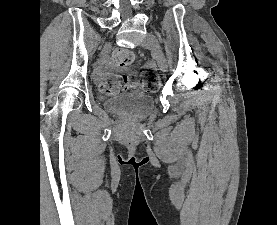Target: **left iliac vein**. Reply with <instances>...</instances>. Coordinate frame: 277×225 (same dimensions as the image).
Wrapping results in <instances>:
<instances>
[{
  "mask_svg": "<svg viewBox=\"0 0 277 225\" xmlns=\"http://www.w3.org/2000/svg\"><path fill=\"white\" fill-rule=\"evenodd\" d=\"M144 48H148L150 50H152V52L155 55L156 61H157V65L158 68L161 71H166L167 65H166V58L165 55L161 49V46L159 44L158 39L155 37V35H153L152 33H148L142 44H141Z\"/></svg>",
  "mask_w": 277,
  "mask_h": 225,
  "instance_id": "4c4485c4",
  "label": "left iliac vein"
}]
</instances>
